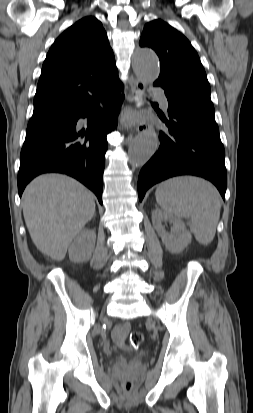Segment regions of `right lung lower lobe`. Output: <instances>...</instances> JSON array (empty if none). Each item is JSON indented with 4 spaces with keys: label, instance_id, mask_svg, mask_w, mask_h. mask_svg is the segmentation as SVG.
<instances>
[{
    "label": "right lung lower lobe",
    "instance_id": "right-lung-lower-lobe-1",
    "mask_svg": "<svg viewBox=\"0 0 253 413\" xmlns=\"http://www.w3.org/2000/svg\"><path fill=\"white\" fill-rule=\"evenodd\" d=\"M121 89L116 74L97 97L72 106L56 124L26 135L18 172L19 196L37 175L59 172L82 182L102 203L106 136L116 126L123 101ZM86 116H89L87 129L80 130L77 121Z\"/></svg>",
    "mask_w": 253,
    "mask_h": 413
}]
</instances>
